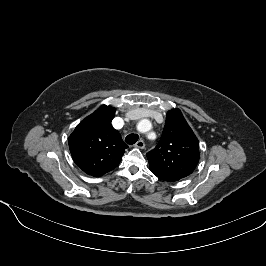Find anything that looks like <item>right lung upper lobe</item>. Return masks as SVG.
<instances>
[{
  "mask_svg": "<svg viewBox=\"0 0 266 266\" xmlns=\"http://www.w3.org/2000/svg\"><path fill=\"white\" fill-rule=\"evenodd\" d=\"M116 109L102 105L83 119L70 135L68 144L76 165L97 177L113 170L128 147L111 121Z\"/></svg>",
  "mask_w": 266,
  "mask_h": 266,
  "instance_id": "obj_1",
  "label": "right lung upper lobe"
}]
</instances>
